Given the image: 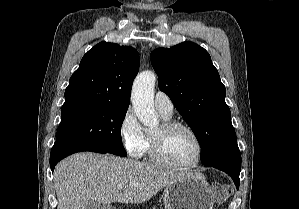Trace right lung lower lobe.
Returning a JSON list of instances; mask_svg holds the SVG:
<instances>
[{
  "label": "right lung lower lobe",
  "instance_id": "98d812e1",
  "mask_svg": "<svg viewBox=\"0 0 299 209\" xmlns=\"http://www.w3.org/2000/svg\"><path fill=\"white\" fill-rule=\"evenodd\" d=\"M92 151L97 153H110L109 151L96 146L71 143L66 141H56L50 154V167L52 172L55 165L63 158L76 152Z\"/></svg>",
  "mask_w": 299,
  "mask_h": 209
}]
</instances>
